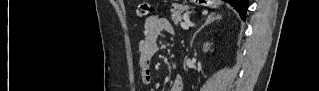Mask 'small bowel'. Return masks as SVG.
<instances>
[{
  "instance_id": "c3829d8e",
  "label": "small bowel",
  "mask_w": 319,
  "mask_h": 91,
  "mask_svg": "<svg viewBox=\"0 0 319 91\" xmlns=\"http://www.w3.org/2000/svg\"><path fill=\"white\" fill-rule=\"evenodd\" d=\"M170 21L158 15L149 16L144 23L143 37L138 44V69L140 80L149 84L153 75L152 60L159 51L158 38L162 33H172ZM170 91H182V80L176 75L170 86Z\"/></svg>"
}]
</instances>
